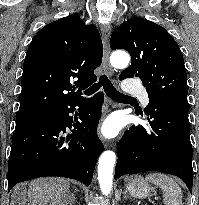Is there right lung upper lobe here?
<instances>
[{
	"label": "right lung upper lobe",
	"mask_w": 199,
	"mask_h": 205,
	"mask_svg": "<svg viewBox=\"0 0 199 205\" xmlns=\"http://www.w3.org/2000/svg\"><path fill=\"white\" fill-rule=\"evenodd\" d=\"M102 55L97 28L85 25L77 13L44 26L26 53L16 118L46 114L79 99L80 91L97 80L94 70Z\"/></svg>",
	"instance_id": "obj_1"
}]
</instances>
